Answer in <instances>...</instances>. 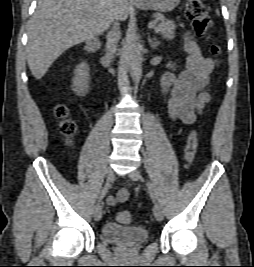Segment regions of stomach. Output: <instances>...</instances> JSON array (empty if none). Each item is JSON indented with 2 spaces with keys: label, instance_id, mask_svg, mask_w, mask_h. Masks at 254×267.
<instances>
[{
  "label": "stomach",
  "instance_id": "0dacf381",
  "mask_svg": "<svg viewBox=\"0 0 254 267\" xmlns=\"http://www.w3.org/2000/svg\"><path fill=\"white\" fill-rule=\"evenodd\" d=\"M180 0H140L135 5L142 10H154L161 13L172 11Z\"/></svg>",
  "mask_w": 254,
  "mask_h": 267
}]
</instances>
